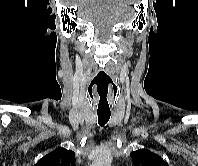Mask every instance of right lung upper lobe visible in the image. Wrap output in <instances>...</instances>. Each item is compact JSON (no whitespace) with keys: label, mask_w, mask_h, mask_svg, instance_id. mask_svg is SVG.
I'll return each mask as SVG.
<instances>
[{"label":"right lung upper lobe","mask_w":198,"mask_h":166,"mask_svg":"<svg viewBox=\"0 0 198 166\" xmlns=\"http://www.w3.org/2000/svg\"><path fill=\"white\" fill-rule=\"evenodd\" d=\"M35 166H75V153L60 147L41 158Z\"/></svg>","instance_id":"1"}]
</instances>
